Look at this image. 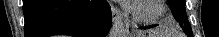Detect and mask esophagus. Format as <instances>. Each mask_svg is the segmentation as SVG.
<instances>
[{
  "label": "esophagus",
  "instance_id": "34e87169",
  "mask_svg": "<svg viewBox=\"0 0 219 37\" xmlns=\"http://www.w3.org/2000/svg\"><path fill=\"white\" fill-rule=\"evenodd\" d=\"M111 12H112V20H113V22H116L117 20H121L122 19V13H121V11L118 8L112 6V11Z\"/></svg>",
  "mask_w": 219,
  "mask_h": 37
}]
</instances>
